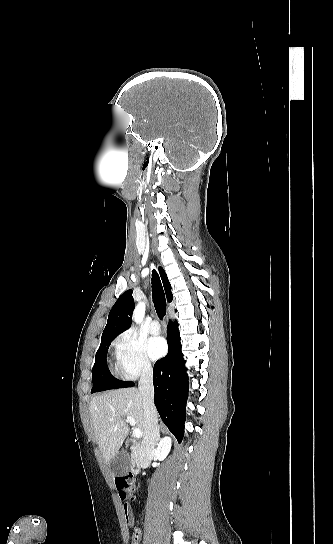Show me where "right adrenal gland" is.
<instances>
[{
	"label": "right adrenal gland",
	"mask_w": 333,
	"mask_h": 544,
	"mask_svg": "<svg viewBox=\"0 0 333 544\" xmlns=\"http://www.w3.org/2000/svg\"><path fill=\"white\" fill-rule=\"evenodd\" d=\"M159 440H160V427H158L157 429L156 445H158Z\"/></svg>",
	"instance_id": "2a0ac1e0"
}]
</instances>
